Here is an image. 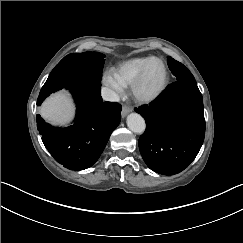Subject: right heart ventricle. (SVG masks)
I'll return each instance as SVG.
<instances>
[{"instance_id":"e07e8e85","label":"right heart ventricle","mask_w":243,"mask_h":243,"mask_svg":"<svg viewBox=\"0 0 243 243\" xmlns=\"http://www.w3.org/2000/svg\"><path fill=\"white\" fill-rule=\"evenodd\" d=\"M155 59L160 58L151 55L130 57L121 60L113 68L124 88H131L144 67Z\"/></svg>"}]
</instances>
